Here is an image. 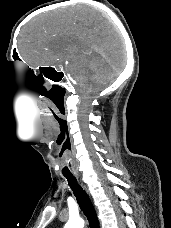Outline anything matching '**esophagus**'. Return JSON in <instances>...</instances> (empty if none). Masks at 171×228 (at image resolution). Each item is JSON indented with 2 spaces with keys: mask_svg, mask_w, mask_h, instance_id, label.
<instances>
[{
  "mask_svg": "<svg viewBox=\"0 0 171 228\" xmlns=\"http://www.w3.org/2000/svg\"><path fill=\"white\" fill-rule=\"evenodd\" d=\"M84 188H85V190L87 191V189H86V187L85 186H83Z\"/></svg>",
  "mask_w": 171,
  "mask_h": 228,
  "instance_id": "obj_1",
  "label": "esophagus"
}]
</instances>
